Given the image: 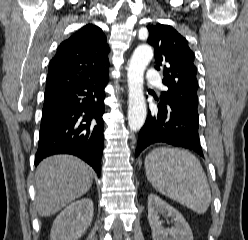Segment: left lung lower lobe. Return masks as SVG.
Listing matches in <instances>:
<instances>
[{
    "mask_svg": "<svg viewBox=\"0 0 248 240\" xmlns=\"http://www.w3.org/2000/svg\"><path fill=\"white\" fill-rule=\"evenodd\" d=\"M199 115L196 107L159 103L158 113L150 111L141 128L136 156L147 146L166 143L189 149L203 157L199 139Z\"/></svg>",
    "mask_w": 248,
    "mask_h": 240,
    "instance_id": "obj_1",
    "label": "left lung lower lobe"
}]
</instances>
